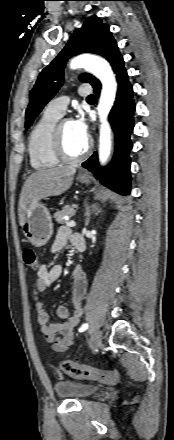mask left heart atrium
<instances>
[{
	"mask_svg": "<svg viewBox=\"0 0 174 440\" xmlns=\"http://www.w3.org/2000/svg\"><path fill=\"white\" fill-rule=\"evenodd\" d=\"M75 134L82 140H88V125L82 115L77 116L72 122Z\"/></svg>",
	"mask_w": 174,
	"mask_h": 440,
	"instance_id": "obj_1",
	"label": "left heart atrium"
}]
</instances>
